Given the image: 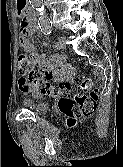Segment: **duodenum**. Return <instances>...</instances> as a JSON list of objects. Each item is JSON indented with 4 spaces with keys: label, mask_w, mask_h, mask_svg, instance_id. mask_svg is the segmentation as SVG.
I'll list each match as a JSON object with an SVG mask.
<instances>
[{
    "label": "duodenum",
    "mask_w": 123,
    "mask_h": 167,
    "mask_svg": "<svg viewBox=\"0 0 123 167\" xmlns=\"http://www.w3.org/2000/svg\"><path fill=\"white\" fill-rule=\"evenodd\" d=\"M30 15L33 19H35V14L33 12H30Z\"/></svg>",
    "instance_id": "1"
}]
</instances>
